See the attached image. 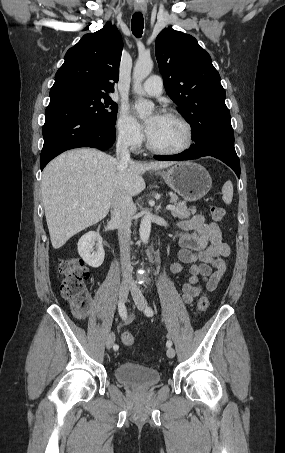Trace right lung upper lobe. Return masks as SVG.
<instances>
[{
	"mask_svg": "<svg viewBox=\"0 0 285 453\" xmlns=\"http://www.w3.org/2000/svg\"><path fill=\"white\" fill-rule=\"evenodd\" d=\"M122 37L117 27H104L84 35L65 55V62L55 75L50 98L59 99L69 93L108 95L114 92L119 79Z\"/></svg>",
	"mask_w": 285,
	"mask_h": 453,
	"instance_id": "cb5924a9",
	"label": "right lung upper lobe"
}]
</instances>
